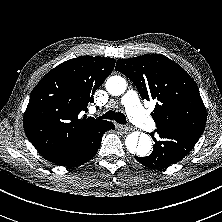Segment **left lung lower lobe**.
<instances>
[{"mask_svg":"<svg viewBox=\"0 0 222 222\" xmlns=\"http://www.w3.org/2000/svg\"><path fill=\"white\" fill-rule=\"evenodd\" d=\"M157 132L159 138H155ZM150 133L155 141L153 152L147 157L135 159L149 168H166L179 162L195 146L202 134L195 131L177 128L158 126L156 131Z\"/></svg>","mask_w":222,"mask_h":222,"instance_id":"0a47b994","label":"left lung lower lobe"}]
</instances>
